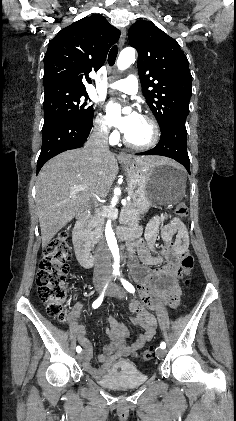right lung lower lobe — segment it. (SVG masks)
Here are the masks:
<instances>
[{"instance_id": "right-lung-lower-lobe-1", "label": "right lung lower lobe", "mask_w": 236, "mask_h": 421, "mask_svg": "<svg viewBox=\"0 0 236 421\" xmlns=\"http://www.w3.org/2000/svg\"><path fill=\"white\" fill-rule=\"evenodd\" d=\"M92 128L66 119H57L43 125L42 147L37 161V173L52 157L66 150L79 148L86 141Z\"/></svg>"}]
</instances>
